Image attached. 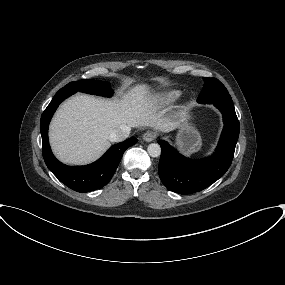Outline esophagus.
I'll use <instances>...</instances> for the list:
<instances>
[{"mask_svg":"<svg viewBox=\"0 0 285 285\" xmlns=\"http://www.w3.org/2000/svg\"><path fill=\"white\" fill-rule=\"evenodd\" d=\"M142 138L146 142H151L156 138V134L152 131H147L143 134Z\"/></svg>","mask_w":285,"mask_h":285,"instance_id":"obj_1","label":"esophagus"}]
</instances>
